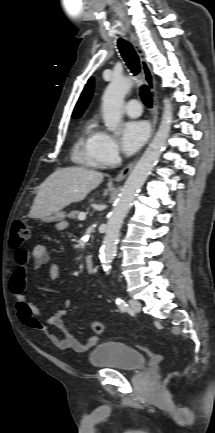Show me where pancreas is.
I'll return each instance as SVG.
<instances>
[{
	"mask_svg": "<svg viewBox=\"0 0 215 433\" xmlns=\"http://www.w3.org/2000/svg\"><path fill=\"white\" fill-rule=\"evenodd\" d=\"M78 214H79V211L74 210V211H72V212L68 215V217L74 219V218H76V216H77Z\"/></svg>",
	"mask_w": 215,
	"mask_h": 433,
	"instance_id": "cf45deb5",
	"label": "pancreas"
}]
</instances>
